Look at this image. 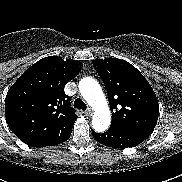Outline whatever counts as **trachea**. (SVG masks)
Listing matches in <instances>:
<instances>
[{"label":"trachea","instance_id":"obj_1","mask_svg":"<svg viewBox=\"0 0 182 182\" xmlns=\"http://www.w3.org/2000/svg\"><path fill=\"white\" fill-rule=\"evenodd\" d=\"M74 107L77 108V109H81V110H86L87 109V106L86 104L83 102L82 99L80 98H77L75 101H74Z\"/></svg>","mask_w":182,"mask_h":182}]
</instances>
